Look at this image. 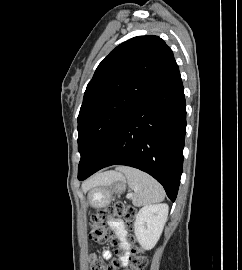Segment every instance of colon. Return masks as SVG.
<instances>
[{"instance_id":"5ec220e1","label":"colon","mask_w":242,"mask_h":270,"mask_svg":"<svg viewBox=\"0 0 242 270\" xmlns=\"http://www.w3.org/2000/svg\"><path fill=\"white\" fill-rule=\"evenodd\" d=\"M136 216V210L126 205L123 202H115L111 206H106L97 210L91 217V231L89 238L100 244L117 245V240L114 237L109 221L112 218L123 219L129 227ZM117 254H121V250H116ZM147 265V259L139 248L131 250L129 270H144ZM119 266L116 261L105 264L95 254L90 256V270H118Z\"/></svg>"}]
</instances>
